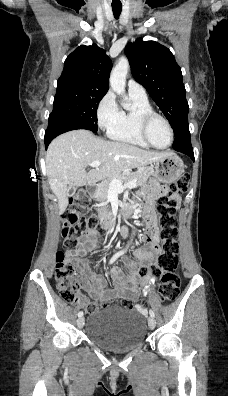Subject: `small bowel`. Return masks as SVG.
<instances>
[{"instance_id":"small-bowel-1","label":"small bowel","mask_w":228,"mask_h":396,"mask_svg":"<svg viewBox=\"0 0 228 396\" xmlns=\"http://www.w3.org/2000/svg\"><path fill=\"white\" fill-rule=\"evenodd\" d=\"M166 190V185L153 186L150 191V198L144 209V213L149 215L154 221L153 228L145 231V237L152 242V247L150 249H134L133 251L134 256L143 266L153 265L157 255L160 253L158 229L155 223V200L163 195ZM124 233H126L125 230ZM98 242L99 232L94 228L88 229L84 234L83 240L75 248L68 249L65 252V262L72 264L77 269L80 283L91 298L100 299L103 302L122 298L136 301L141 295L139 285L148 291L154 282V275L149 272L141 278L136 268L130 263H127V273H123L119 267H113L110 269V274L115 286L113 289H108L107 280L102 276L91 273L82 260V257L88 252L98 247Z\"/></svg>"}]
</instances>
